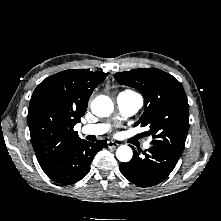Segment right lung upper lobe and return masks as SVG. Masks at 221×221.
Here are the masks:
<instances>
[{"label": "right lung upper lobe", "instance_id": "cb5924a9", "mask_svg": "<svg viewBox=\"0 0 221 221\" xmlns=\"http://www.w3.org/2000/svg\"><path fill=\"white\" fill-rule=\"evenodd\" d=\"M107 75L80 69L65 70L44 79L34 90L28 125L40 165L81 140L73 128L86 112L93 90Z\"/></svg>", "mask_w": 221, "mask_h": 221}]
</instances>
